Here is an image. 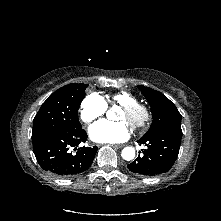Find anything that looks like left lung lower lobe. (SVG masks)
<instances>
[{
	"mask_svg": "<svg viewBox=\"0 0 221 221\" xmlns=\"http://www.w3.org/2000/svg\"><path fill=\"white\" fill-rule=\"evenodd\" d=\"M181 129L164 128L143 136L137 142L145 144L143 155L127 165L128 169L142 176L166 173L173 166L179 152Z\"/></svg>",
	"mask_w": 221,
	"mask_h": 221,
	"instance_id": "obj_1",
	"label": "left lung lower lobe"
}]
</instances>
